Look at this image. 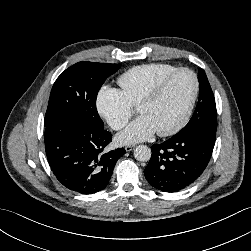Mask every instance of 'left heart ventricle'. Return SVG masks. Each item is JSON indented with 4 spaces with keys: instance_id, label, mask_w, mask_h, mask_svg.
<instances>
[{
    "instance_id": "b2bd125f",
    "label": "left heart ventricle",
    "mask_w": 251,
    "mask_h": 251,
    "mask_svg": "<svg viewBox=\"0 0 251 251\" xmlns=\"http://www.w3.org/2000/svg\"><path fill=\"white\" fill-rule=\"evenodd\" d=\"M193 90L192 76L180 73L169 82L154 102L137 108V112L147 117L156 131L170 129L185 113Z\"/></svg>"
}]
</instances>
